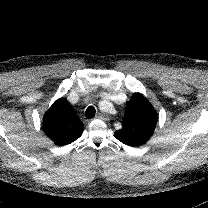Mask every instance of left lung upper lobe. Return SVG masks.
<instances>
[{
	"mask_svg": "<svg viewBox=\"0 0 208 208\" xmlns=\"http://www.w3.org/2000/svg\"><path fill=\"white\" fill-rule=\"evenodd\" d=\"M158 114L146 97L134 93L126 103L123 127L114 133L122 143L129 146H140L152 136Z\"/></svg>",
	"mask_w": 208,
	"mask_h": 208,
	"instance_id": "left-lung-upper-lobe-1",
	"label": "left lung upper lobe"
}]
</instances>
